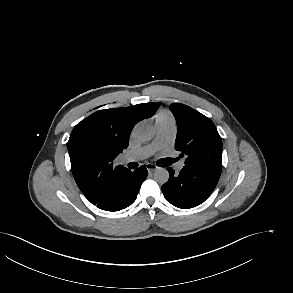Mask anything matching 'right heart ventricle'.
Here are the masks:
<instances>
[{
  "mask_svg": "<svg viewBox=\"0 0 293 293\" xmlns=\"http://www.w3.org/2000/svg\"><path fill=\"white\" fill-rule=\"evenodd\" d=\"M155 124L156 125H171V124H175V120H174V118H173V116L171 115L170 112H168V111H160L156 115Z\"/></svg>",
  "mask_w": 293,
  "mask_h": 293,
  "instance_id": "1",
  "label": "right heart ventricle"
}]
</instances>
